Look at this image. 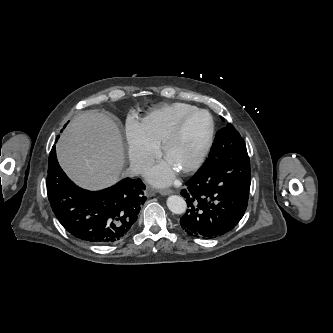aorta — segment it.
Here are the masks:
<instances>
[{
    "label": "aorta",
    "mask_w": 333,
    "mask_h": 333,
    "mask_svg": "<svg viewBox=\"0 0 333 333\" xmlns=\"http://www.w3.org/2000/svg\"><path fill=\"white\" fill-rule=\"evenodd\" d=\"M167 206L175 214H183L187 209L185 200L177 195H172L167 199Z\"/></svg>",
    "instance_id": "1"
}]
</instances>
